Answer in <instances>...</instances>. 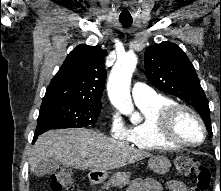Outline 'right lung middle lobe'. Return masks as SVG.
I'll use <instances>...</instances> for the list:
<instances>
[{"instance_id":"1","label":"right lung middle lobe","mask_w":221,"mask_h":191,"mask_svg":"<svg viewBox=\"0 0 221 191\" xmlns=\"http://www.w3.org/2000/svg\"><path fill=\"white\" fill-rule=\"evenodd\" d=\"M102 104L90 102H59L42 104L36 133L56 128H80L94 125Z\"/></svg>"}]
</instances>
